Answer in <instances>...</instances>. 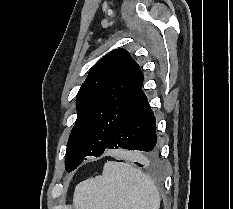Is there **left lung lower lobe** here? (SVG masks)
Masks as SVG:
<instances>
[{
  "instance_id": "left-lung-lower-lobe-1",
  "label": "left lung lower lobe",
  "mask_w": 233,
  "mask_h": 209,
  "mask_svg": "<svg viewBox=\"0 0 233 209\" xmlns=\"http://www.w3.org/2000/svg\"><path fill=\"white\" fill-rule=\"evenodd\" d=\"M156 119L145 93L140 88L135 100L111 132L105 151L128 149L146 152L147 158L136 163L142 167L157 160Z\"/></svg>"
}]
</instances>
